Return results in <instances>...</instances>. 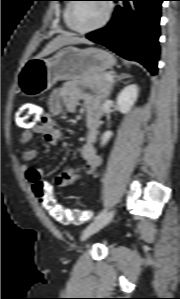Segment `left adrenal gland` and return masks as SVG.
<instances>
[{"label":"left adrenal gland","mask_w":180,"mask_h":299,"mask_svg":"<svg viewBox=\"0 0 180 299\" xmlns=\"http://www.w3.org/2000/svg\"><path fill=\"white\" fill-rule=\"evenodd\" d=\"M126 78H130V76H129V75H126V74H121V75H119V76H118V79H117L116 81H114V84L112 85L111 90L113 89V86H114L117 82L121 81L122 79H126Z\"/></svg>","instance_id":"a2214340"}]
</instances>
